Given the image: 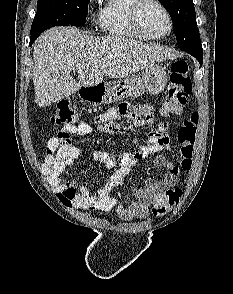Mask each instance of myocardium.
Masks as SVG:
<instances>
[{
	"mask_svg": "<svg viewBox=\"0 0 233 294\" xmlns=\"http://www.w3.org/2000/svg\"><path fill=\"white\" fill-rule=\"evenodd\" d=\"M147 4H155L165 13L169 23L168 30L165 33L161 35H153L144 27L142 23V11ZM131 18L135 28L148 39H162L170 35V33L173 31L174 22L172 15L166 5L160 0H135L131 11Z\"/></svg>",
	"mask_w": 233,
	"mask_h": 294,
	"instance_id": "1",
	"label": "myocardium"
}]
</instances>
